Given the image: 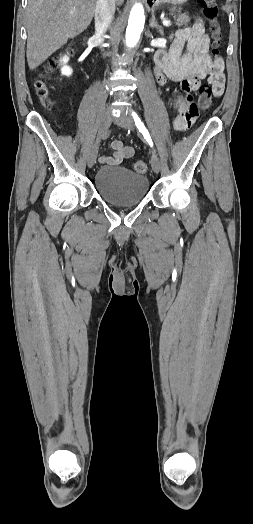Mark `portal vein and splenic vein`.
<instances>
[{
    "label": "portal vein and splenic vein",
    "mask_w": 253,
    "mask_h": 524,
    "mask_svg": "<svg viewBox=\"0 0 253 524\" xmlns=\"http://www.w3.org/2000/svg\"><path fill=\"white\" fill-rule=\"evenodd\" d=\"M163 25L164 26H170L171 25V22L169 20H163Z\"/></svg>",
    "instance_id": "obj_1"
}]
</instances>
